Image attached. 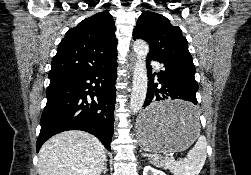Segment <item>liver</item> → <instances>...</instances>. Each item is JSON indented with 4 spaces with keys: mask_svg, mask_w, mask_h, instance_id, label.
<instances>
[{
    "mask_svg": "<svg viewBox=\"0 0 251 175\" xmlns=\"http://www.w3.org/2000/svg\"><path fill=\"white\" fill-rule=\"evenodd\" d=\"M105 149L86 131H62L45 141L38 153L39 175H100Z\"/></svg>",
    "mask_w": 251,
    "mask_h": 175,
    "instance_id": "6515ba94",
    "label": "liver"
}]
</instances>
